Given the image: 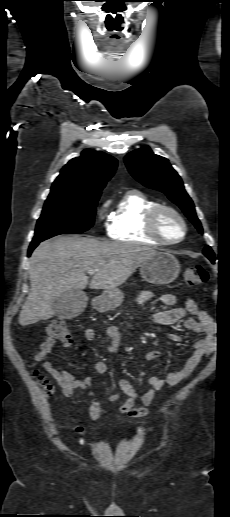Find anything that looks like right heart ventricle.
I'll return each instance as SVG.
<instances>
[{
    "label": "right heart ventricle",
    "mask_w": 230,
    "mask_h": 517,
    "mask_svg": "<svg viewBox=\"0 0 230 517\" xmlns=\"http://www.w3.org/2000/svg\"><path fill=\"white\" fill-rule=\"evenodd\" d=\"M159 205L158 201L140 190L127 191L112 212L109 237L122 242L160 244L147 230V217Z\"/></svg>",
    "instance_id": "e07e8e85"
}]
</instances>
